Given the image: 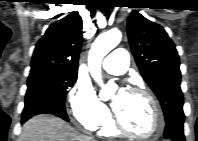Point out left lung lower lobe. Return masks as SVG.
<instances>
[{"label":"left lung lower lobe","mask_w":198,"mask_h":141,"mask_svg":"<svg viewBox=\"0 0 198 141\" xmlns=\"http://www.w3.org/2000/svg\"><path fill=\"white\" fill-rule=\"evenodd\" d=\"M183 122L184 117L178 115L169 119L164 132L165 138L173 141H184Z\"/></svg>","instance_id":"obj_1"}]
</instances>
